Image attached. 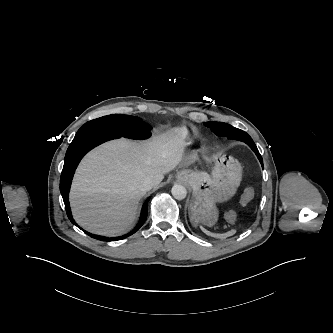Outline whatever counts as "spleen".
Segmentation results:
<instances>
[{
	"instance_id": "obj_1",
	"label": "spleen",
	"mask_w": 333,
	"mask_h": 333,
	"mask_svg": "<svg viewBox=\"0 0 333 333\" xmlns=\"http://www.w3.org/2000/svg\"><path fill=\"white\" fill-rule=\"evenodd\" d=\"M201 229L203 230L204 233H206L207 235H211L213 237H216V238H220V239H223V238H227L233 234H235V230H231L227 233H223V234H214V233H211L209 231H207L206 229H204L203 227H201Z\"/></svg>"
}]
</instances>
